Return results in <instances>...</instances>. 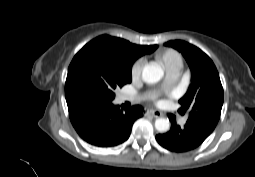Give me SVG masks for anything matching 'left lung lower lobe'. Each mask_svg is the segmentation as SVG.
Wrapping results in <instances>:
<instances>
[{"label":"left lung lower lobe","instance_id":"obj_1","mask_svg":"<svg viewBox=\"0 0 255 177\" xmlns=\"http://www.w3.org/2000/svg\"><path fill=\"white\" fill-rule=\"evenodd\" d=\"M211 133L209 130L187 122L181 128L174 122L167 133L156 135V140L161 146L170 151L186 152L201 145Z\"/></svg>","mask_w":255,"mask_h":177}]
</instances>
